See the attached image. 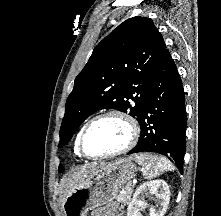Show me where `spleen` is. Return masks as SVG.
<instances>
[{"label":"spleen","mask_w":221,"mask_h":216,"mask_svg":"<svg viewBox=\"0 0 221 216\" xmlns=\"http://www.w3.org/2000/svg\"><path fill=\"white\" fill-rule=\"evenodd\" d=\"M140 166L145 179H153L165 171L174 170L171 162L165 157H157L149 154H136L131 157Z\"/></svg>","instance_id":"3e777b00"}]
</instances>
